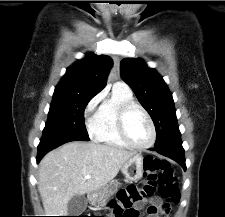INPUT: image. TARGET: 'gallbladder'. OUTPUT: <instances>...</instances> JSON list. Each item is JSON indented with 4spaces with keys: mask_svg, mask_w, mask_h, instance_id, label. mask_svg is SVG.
<instances>
[{
    "mask_svg": "<svg viewBox=\"0 0 225 217\" xmlns=\"http://www.w3.org/2000/svg\"><path fill=\"white\" fill-rule=\"evenodd\" d=\"M87 207V199L83 195H75L68 202V215L79 216Z\"/></svg>",
    "mask_w": 225,
    "mask_h": 217,
    "instance_id": "gallbladder-1",
    "label": "gallbladder"
}]
</instances>
